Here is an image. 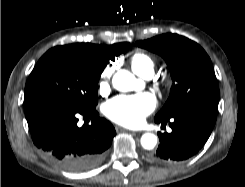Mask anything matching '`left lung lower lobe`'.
I'll use <instances>...</instances> for the list:
<instances>
[{
  "mask_svg": "<svg viewBox=\"0 0 245 187\" xmlns=\"http://www.w3.org/2000/svg\"><path fill=\"white\" fill-rule=\"evenodd\" d=\"M216 116L217 107L207 106L185 111L166 120L155 118L161 127L169 123L172 132H158L160 145L151 155V160L171 165L195 155L208 140Z\"/></svg>",
  "mask_w": 245,
  "mask_h": 187,
  "instance_id": "obj_1",
  "label": "left lung lower lobe"
}]
</instances>
